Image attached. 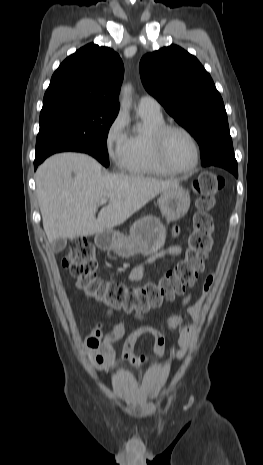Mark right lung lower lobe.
I'll list each match as a JSON object with an SVG mask.
<instances>
[{
    "mask_svg": "<svg viewBox=\"0 0 263 465\" xmlns=\"http://www.w3.org/2000/svg\"><path fill=\"white\" fill-rule=\"evenodd\" d=\"M78 152H79V151H78ZM40 163H41V162H39V161H36V160L34 161V164H35V165H38V164H40Z\"/></svg>",
    "mask_w": 263,
    "mask_h": 465,
    "instance_id": "right-lung-lower-lobe-1",
    "label": "right lung lower lobe"
}]
</instances>
